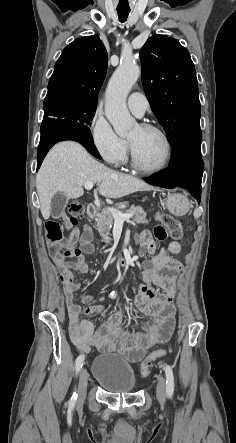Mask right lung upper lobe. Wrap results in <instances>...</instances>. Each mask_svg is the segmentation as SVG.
Wrapping results in <instances>:
<instances>
[{"label": "right lung upper lobe", "instance_id": "1", "mask_svg": "<svg viewBox=\"0 0 236 443\" xmlns=\"http://www.w3.org/2000/svg\"><path fill=\"white\" fill-rule=\"evenodd\" d=\"M108 55L98 35L78 38L65 47L49 80L45 101L72 98L97 104Z\"/></svg>", "mask_w": 236, "mask_h": 443}]
</instances>
